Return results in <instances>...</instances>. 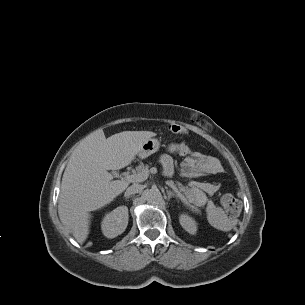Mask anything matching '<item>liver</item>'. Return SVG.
I'll list each match as a JSON object with an SVG mask.
<instances>
[{"instance_id":"liver-1","label":"liver","mask_w":305,"mask_h":305,"mask_svg":"<svg viewBox=\"0 0 305 305\" xmlns=\"http://www.w3.org/2000/svg\"><path fill=\"white\" fill-rule=\"evenodd\" d=\"M155 135L151 131H123L106 139L102 130H96L71 154L62 177L58 214L79 243L89 234V212L109 204L129 185L112 180L108 170L131 164L143 142Z\"/></svg>"}]
</instances>
